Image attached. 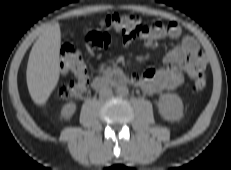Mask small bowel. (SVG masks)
I'll list each match as a JSON object with an SVG mask.
<instances>
[{
  "label": "small bowel",
  "instance_id": "obj_1",
  "mask_svg": "<svg viewBox=\"0 0 231 170\" xmlns=\"http://www.w3.org/2000/svg\"><path fill=\"white\" fill-rule=\"evenodd\" d=\"M134 38L152 48L157 47L162 39L181 38L179 44L164 57L163 67L147 69L129 77L132 84L138 85L149 94L175 90L184 83L185 77H195L206 67V59L196 40L189 35L182 36V29L175 22L167 25L154 22L136 37L109 30L92 31L86 35L85 42L95 49H104L114 42L127 47Z\"/></svg>",
  "mask_w": 231,
  "mask_h": 170
}]
</instances>
